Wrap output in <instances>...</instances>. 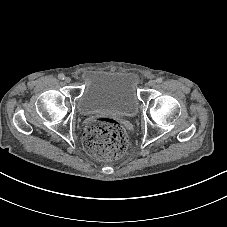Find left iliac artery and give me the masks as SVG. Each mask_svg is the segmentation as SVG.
I'll use <instances>...</instances> for the list:
<instances>
[{
    "instance_id": "left-iliac-artery-1",
    "label": "left iliac artery",
    "mask_w": 227,
    "mask_h": 227,
    "mask_svg": "<svg viewBox=\"0 0 227 227\" xmlns=\"http://www.w3.org/2000/svg\"><path fill=\"white\" fill-rule=\"evenodd\" d=\"M162 81H163V79L161 77H159V78L156 79V82L157 83H161Z\"/></svg>"
}]
</instances>
